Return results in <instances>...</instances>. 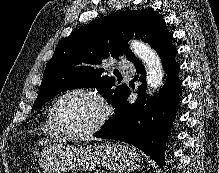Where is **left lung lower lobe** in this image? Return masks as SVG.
Here are the masks:
<instances>
[{
    "mask_svg": "<svg viewBox=\"0 0 219 173\" xmlns=\"http://www.w3.org/2000/svg\"><path fill=\"white\" fill-rule=\"evenodd\" d=\"M172 38V35H169L154 48L168 73L165 87L159 97L146 98L145 70L137 59L134 64L136 72L140 74L139 81L143 83L138 87V98L134 103H130L127 100L131 93L128 88L115 107L114 117L107 120L102 129L93 134L98 138L132 144L160 166L165 163V145L176 116L175 108L179 103L178 89L181 86L177 74L180 67L175 61L177 51L172 44Z\"/></svg>",
    "mask_w": 219,
    "mask_h": 173,
    "instance_id": "left-lung-lower-lobe-1",
    "label": "left lung lower lobe"
}]
</instances>
